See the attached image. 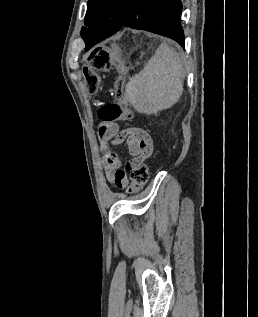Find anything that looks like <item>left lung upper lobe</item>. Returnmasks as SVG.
I'll use <instances>...</instances> for the list:
<instances>
[{
	"instance_id": "1",
	"label": "left lung upper lobe",
	"mask_w": 258,
	"mask_h": 317,
	"mask_svg": "<svg viewBox=\"0 0 258 317\" xmlns=\"http://www.w3.org/2000/svg\"><path fill=\"white\" fill-rule=\"evenodd\" d=\"M131 0H88L87 12L81 36L100 27L119 28L127 14Z\"/></svg>"
}]
</instances>
